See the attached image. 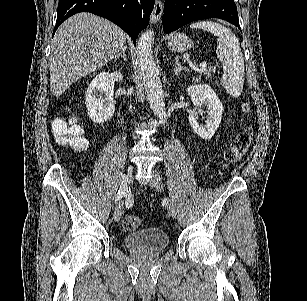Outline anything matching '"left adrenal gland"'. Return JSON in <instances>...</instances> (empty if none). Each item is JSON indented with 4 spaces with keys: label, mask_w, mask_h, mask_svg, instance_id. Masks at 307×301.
Instances as JSON below:
<instances>
[{
    "label": "left adrenal gland",
    "mask_w": 307,
    "mask_h": 301,
    "mask_svg": "<svg viewBox=\"0 0 307 301\" xmlns=\"http://www.w3.org/2000/svg\"><path fill=\"white\" fill-rule=\"evenodd\" d=\"M174 66H175L174 68L175 74H179V72H182V70H188L186 66H181L179 58H175Z\"/></svg>",
    "instance_id": "1"
}]
</instances>
